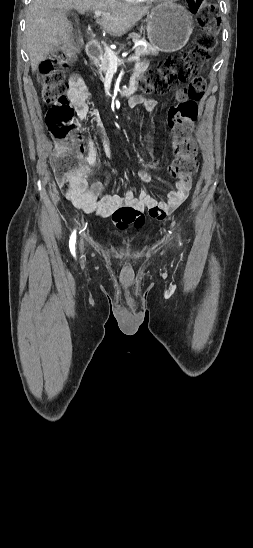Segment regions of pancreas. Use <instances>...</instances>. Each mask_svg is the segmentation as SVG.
Masks as SVG:
<instances>
[{"label": "pancreas", "instance_id": "cf45deb5", "mask_svg": "<svg viewBox=\"0 0 253 548\" xmlns=\"http://www.w3.org/2000/svg\"><path fill=\"white\" fill-rule=\"evenodd\" d=\"M114 54L117 56L119 54V51L114 52ZM157 54H158V48L152 45H147L146 47L139 46L135 49V55L139 57L148 56V55H157ZM93 64L96 66H99V72H103V73H105L111 65L109 61V57L106 52L102 54L98 60H95Z\"/></svg>", "mask_w": 253, "mask_h": 548}]
</instances>
